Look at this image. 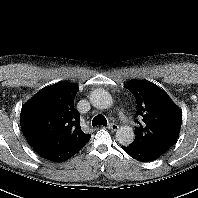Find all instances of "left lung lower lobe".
<instances>
[{"mask_svg":"<svg viewBox=\"0 0 198 198\" xmlns=\"http://www.w3.org/2000/svg\"><path fill=\"white\" fill-rule=\"evenodd\" d=\"M131 157L140 162H150L159 158L163 153L135 147L133 145L121 146Z\"/></svg>","mask_w":198,"mask_h":198,"instance_id":"left-lung-lower-lobe-1","label":"left lung lower lobe"}]
</instances>
